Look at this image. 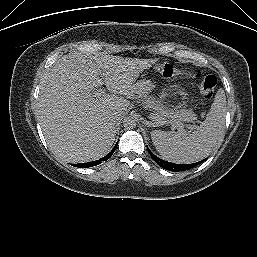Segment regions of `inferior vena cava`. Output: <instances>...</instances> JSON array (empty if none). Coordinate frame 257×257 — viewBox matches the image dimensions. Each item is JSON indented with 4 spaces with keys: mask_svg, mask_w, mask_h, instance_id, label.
<instances>
[{
    "mask_svg": "<svg viewBox=\"0 0 257 257\" xmlns=\"http://www.w3.org/2000/svg\"><path fill=\"white\" fill-rule=\"evenodd\" d=\"M111 119L114 122H117V121H119L121 119V115L119 113H114V114H112Z\"/></svg>",
    "mask_w": 257,
    "mask_h": 257,
    "instance_id": "inferior-vena-cava-1",
    "label": "inferior vena cava"
}]
</instances>
